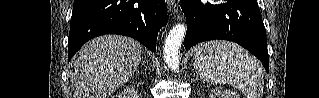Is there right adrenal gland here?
Instances as JSON below:
<instances>
[{
    "mask_svg": "<svg viewBox=\"0 0 319 98\" xmlns=\"http://www.w3.org/2000/svg\"><path fill=\"white\" fill-rule=\"evenodd\" d=\"M141 65H143V66H145L146 67V59L142 62V64Z\"/></svg>",
    "mask_w": 319,
    "mask_h": 98,
    "instance_id": "obj_1",
    "label": "right adrenal gland"
}]
</instances>
